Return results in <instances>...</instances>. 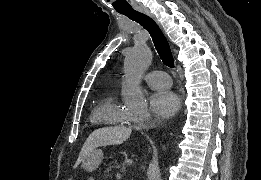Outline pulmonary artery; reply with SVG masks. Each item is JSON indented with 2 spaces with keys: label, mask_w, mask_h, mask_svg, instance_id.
<instances>
[{
  "label": "pulmonary artery",
  "mask_w": 261,
  "mask_h": 180,
  "mask_svg": "<svg viewBox=\"0 0 261 180\" xmlns=\"http://www.w3.org/2000/svg\"><path fill=\"white\" fill-rule=\"evenodd\" d=\"M143 80L149 84V88H170V77L162 71H153L145 74Z\"/></svg>",
  "instance_id": "pulmonary-artery-1"
}]
</instances>
